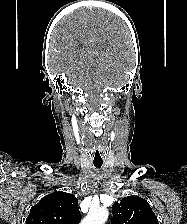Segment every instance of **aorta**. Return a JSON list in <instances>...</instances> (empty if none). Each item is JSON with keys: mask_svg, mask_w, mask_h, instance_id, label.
<instances>
[{"mask_svg": "<svg viewBox=\"0 0 187 224\" xmlns=\"http://www.w3.org/2000/svg\"><path fill=\"white\" fill-rule=\"evenodd\" d=\"M108 215L106 208L91 209L81 224H105Z\"/></svg>", "mask_w": 187, "mask_h": 224, "instance_id": "1", "label": "aorta"}]
</instances>
